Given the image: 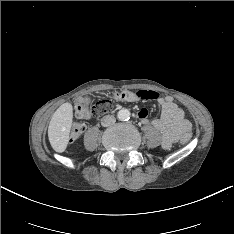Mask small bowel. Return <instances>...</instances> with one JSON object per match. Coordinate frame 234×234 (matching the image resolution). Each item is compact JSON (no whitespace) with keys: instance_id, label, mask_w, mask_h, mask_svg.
<instances>
[{"instance_id":"c3829d8e","label":"small bowel","mask_w":234,"mask_h":234,"mask_svg":"<svg viewBox=\"0 0 234 234\" xmlns=\"http://www.w3.org/2000/svg\"><path fill=\"white\" fill-rule=\"evenodd\" d=\"M143 92L153 94L155 95L154 99H157L160 107V115L158 118L152 120L151 124L162 134L163 148L168 149L177 141L182 133L190 131L191 124L185 118L183 109L175 102L172 96H159L154 91ZM137 100L140 99L131 94L121 101L133 102ZM137 115L143 124L149 123L148 110L146 108H141Z\"/></svg>"}]
</instances>
